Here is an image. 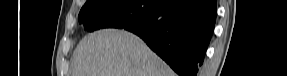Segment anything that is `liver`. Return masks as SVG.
<instances>
[{
  "mask_svg": "<svg viewBox=\"0 0 287 76\" xmlns=\"http://www.w3.org/2000/svg\"><path fill=\"white\" fill-rule=\"evenodd\" d=\"M72 76H175L139 37L104 29L86 35L72 55Z\"/></svg>",
  "mask_w": 287,
  "mask_h": 76,
  "instance_id": "liver-1",
  "label": "liver"
}]
</instances>
